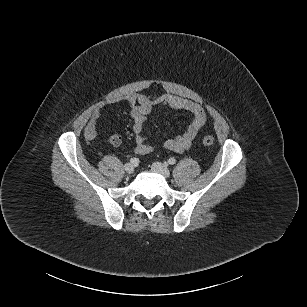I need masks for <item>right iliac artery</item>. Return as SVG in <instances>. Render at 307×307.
Wrapping results in <instances>:
<instances>
[{"label":"right iliac artery","mask_w":307,"mask_h":307,"mask_svg":"<svg viewBox=\"0 0 307 307\" xmlns=\"http://www.w3.org/2000/svg\"><path fill=\"white\" fill-rule=\"evenodd\" d=\"M130 162H131V164H133V165H138L139 159H138V158H131V159H130Z\"/></svg>","instance_id":"right-iliac-artery-1"}]
</instances>
